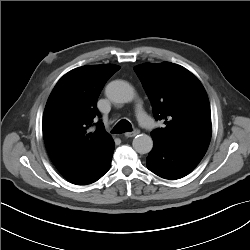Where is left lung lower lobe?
I'll return each instance as SVG.
<instances>
[{"label":"left lung lower lobe","mask_w":250,"mask_h":250,"mask_svg":"<svg viewBox=\"0 0 250 250\" xmlns=\"http://www.w3.org/2000/svg\"><path fill=\"white\" fill-rule=\"evenodd\" d=\"M154 146L147 157V168L156 175L175 180L190 173L203 158L207 149L174 145L152 136Z\"/></svg>","instance_id":"left-lung-lower-lobe-1"}]
</instances>
